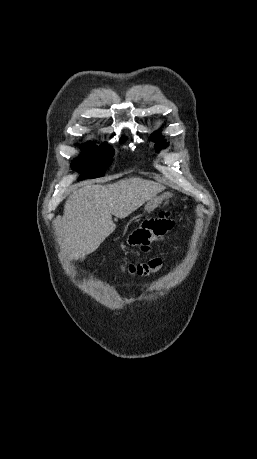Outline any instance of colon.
I'll return each mask as SVG.
<instances>
[{
    "mask_svg": "<svg viewBox=\"0 0 257 459\" xmlns=\"http://www.w3.org/2000/svg\"><path fill=\"white\" fill-rule=\"evenodd\" d=\"M162 265L163 258L156 257L143 263H129L126 265V269L133 275L148 276L150 274L158 272L161 269Z\"/></svg>",
    "mask_w": 257,
    "mask_h": 459,
    "instance_id": "5ec220e1",
    "label": "colon"
}]
</instances>
